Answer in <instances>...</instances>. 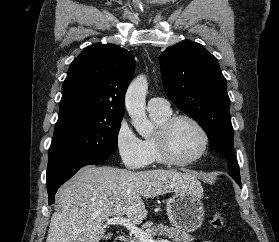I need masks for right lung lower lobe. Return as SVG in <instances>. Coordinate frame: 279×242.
Wrapping results in <instances>:
<instances>
[{"label": "right lung lower lobe", "instance_id": "right-lung-lower-lobe-1", "mask_svg": "<svg viewBox=\"0 0 279 242\" xmlns=\"http://www.w3.org/2000/svg\"><path fill=\"white\" fill-rule=\"evenodd\" d=\"M109 156L107 155H91L79 158L78 160L72 161L54 172L53 174L47 176V190L49 204L55 202L54 197L58 188L68 179H70L80 168L90 165L98 164L106 160Z\"/></svg>", "mask_w": 279, "mask_h": 242}]
</instances>
